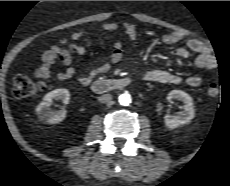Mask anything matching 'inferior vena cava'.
Here are the masks:
<instances>
[{
  "mask_svg": "<svg viewBox=\"0 0 230 186\" xmlns=\"http://www.w3.org/2000/svg\"><path fill=\"white\" fill-rule=\"evenodd\" d=\"M98 100L101 103H108L112 100V95L111 94H104V95L98 97Z\"/></svg>",
  "mask_w": 230,
  "mask_h": 186,
  "instance_id": "602c4592",
  "label": "inferior vena cava"
}]
</instances>
